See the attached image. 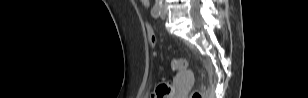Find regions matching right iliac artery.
Masks as SVG:
<instances>
[{
  "instance_id": "obj_1",
  "label": "right iliac artery",
  "mask_w": 308,
  "mask_h": 98,
  "mask_svg": "<svg viewBox=\"0 0 308 98\" xmlns=\"http://www.w3.org/2000/svg\"><path fill=\"white\" fill-rule=\"evenodd\" d=\"M151 14L154 18H157L161 14V4H155L151 10Z\"/></svg>"
}]
</instances>
